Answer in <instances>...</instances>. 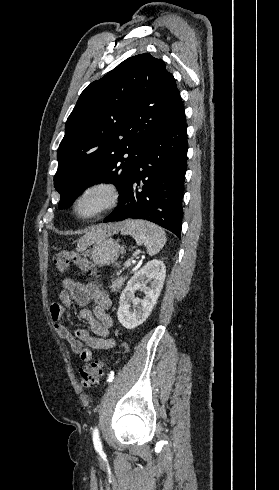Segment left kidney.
Wrapping results in <instances>:
<instances>
[{
    "label": "left kidney",
    "instance_id": "5707ae66",
    "mask_svg": "<svg viewBox=\"0 0 279 490\" xmlns=\"http://www.w3.org/2000/svg\"><path fill=\"white\" fill-rule=\"evenodd\" d=\"M166 278V266L161 260H151L135 272L120 294L117 318L127 330H134L150 316L163 288ZM150 284V286H147ZM136 290L144 292L143 300L135 298ZM132 304L134 310H131Z\"/></svg>",
    "mask_w": 279,
    "mask_h": 490
}]
</instances>
